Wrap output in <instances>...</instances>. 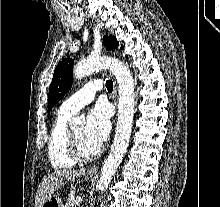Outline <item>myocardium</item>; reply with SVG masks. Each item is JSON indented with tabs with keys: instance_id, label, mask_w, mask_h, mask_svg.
<instances>
[{
	"instance_id": "myocardium-1",
	"label": "myocardium",
	"mask_w": 220,
	"mask_h": 207,
	"mask_svg": "<svg viewBox=\"0 0 220 207\" xmlns=\"http://www.w3.org/2000/svg\"><path fill=\"white\" fill-rule=\"evenodd\" d=\"M66 147L69 156L79 163H85L96 159L101 154V148H98L94 153L86 155L81 151V148L72 132L68 130L66 136Z\"/></svg>"
}]
</instances>
